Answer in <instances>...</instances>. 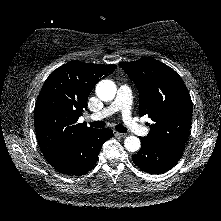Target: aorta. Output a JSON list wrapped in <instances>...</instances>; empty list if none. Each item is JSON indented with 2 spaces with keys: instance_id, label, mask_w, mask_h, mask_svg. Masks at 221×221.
Listing matches in <instances>:
<instances>
[{
  "instance_id": "obj_1",
  "label": "aorta",
  "mask_w": 221,
  "mask_h": 221,
  "mask_svg": "<svg viewBox=\"0 0 221 221\" xmlns=\"http://www.w3.org/2000/svg\"><path fill=\"white\" fill-rule=\"evenodd\" d=\"M117 87L111 80H101L96 86V94L102 101H111L115 98ZM140 140L135 136H129L124 141V146L129 152L138 151Z\"/></svg>"
}]
</instances>
